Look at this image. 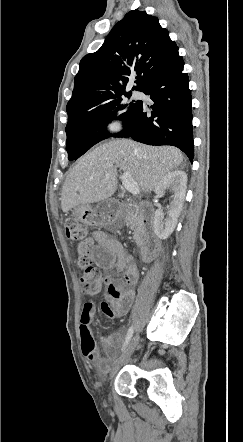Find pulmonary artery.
Returning <instances> with one entry per match:
<instances>
[{
  "label": "pulmonary artery",
  "mask_w": 243,
  "mask_h": 442,
  "mask_svg": "<svg viewBox=\"0 0 243 442\" xmlns=\"http://www.w3.org/2000/svg\"><path fill=\"white\" fill-rule=\"evenodd\" d=\"M133 96H134L135 98H139V97L141 96V94H140L139 92L135 91V92L133 93Z\"/></svg>",
  "instance_id": "pulmonary-artery-1"
}]
</instances>
